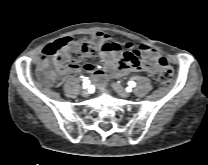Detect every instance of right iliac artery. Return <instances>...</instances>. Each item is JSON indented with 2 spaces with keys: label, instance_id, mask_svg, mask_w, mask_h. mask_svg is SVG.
Segmentation results:
<instances>
[{
  "label": "right iliac artery",
  "instance_id": "right-iliac-artery-1",
  "mask_svg": "<svg viewBox=\"0 0 208 165\" xmlns=\"http://www.w3.org/2000/svg\"><path fill=\"white\" fill-rule=\"evenodd\" d=\"M89 84H90V81L86 79L83 83V87L87 88L89 86Z\"/></svg>",
  "mask_w": 208,
  "mask_h": 165
}]
</instances>
